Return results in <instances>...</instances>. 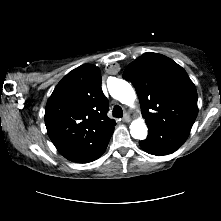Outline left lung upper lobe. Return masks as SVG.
<instances>
[{"instance_id": "obj_1", "label": "left lung upper lobe", "mask_w": 221, "mask_h": 221, "mask_svg": "<svg viewBox=\"0 0 221 221\" xmlns=\"http://www.w3.org/2000/svg\"><path fill=\"white\" fill-rule=\"evenodd\" d=\"M123 78L134 85L147 124L190 130L197 117V91L170 58L148 52L130 63Z\"/></svg>"}]
</instances>
